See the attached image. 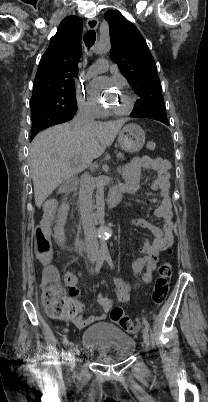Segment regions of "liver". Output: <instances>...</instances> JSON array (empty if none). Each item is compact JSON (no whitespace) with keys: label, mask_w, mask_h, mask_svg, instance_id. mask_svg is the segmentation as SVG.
Returning <instances> with one entry per match:
<instances>
[{"label":"liver","mask_w":208,"mask_h":402,"mask_svg":"<svg viewBox=\"0 0 208 402\" xmlns=\"http://www.w3.org/2000/svg\"><path fill=\"white\" fill-rule=\"evenodd\" d=\"M125 122H93L83 128L60 124L38 134L30 150V174L37 208H41L60 184L79 172L75 166L100 158Z\"/></svg>","instance_id":"liver-1"}]
</instances>
